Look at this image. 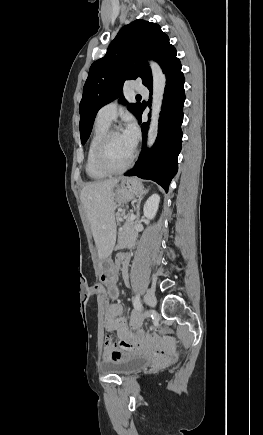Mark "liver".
<instances>
[{
	"mask_svg": "<svg viewBox=\"0 0 263 435\" xmlns=\"http://www.w3.org/2000/svg\"><path fill=\"white\" fill-rule=\"evenodd\" d=\"M119 178L88 183L81 191V202L91 226L98 256L106 259L113 251L116 240L113 188Z\"/></svg>",
	"mask_w": 263,
	"mask_h": 435,
	"instance_id": "1",
	"label": "liver"
}]
</instances>
